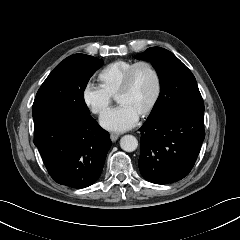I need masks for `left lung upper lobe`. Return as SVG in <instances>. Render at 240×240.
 I'll use <instances>...</instances> for the list:
<instances>
[{
  "mask_svg": "<svg viewBox=\"0 0 240 240\" xmlns=\"http://www.w3.org/2000/svg\"><path fill=\"white\" fill-rule=\"evenodd\" d=\"M135 58L151 61L160 80V95L146 121L154 122L178 109L204 111L194 75L172 52L151 47Z\"/></svg>",
  "mask_w": 240,
  "mask_h": 240,
  "instance_id": "left-lung-upper-lobe-1",
  "label": "left lung upper lobe"
}]
</instances>
